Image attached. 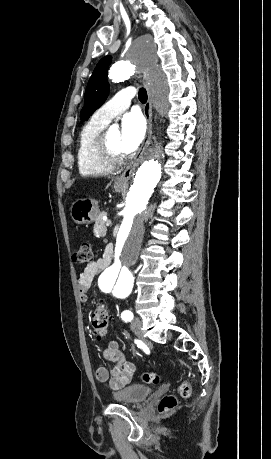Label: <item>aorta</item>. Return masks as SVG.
Returning a JSON list of instances; mask_svg holds the SVG:
<instances>
[{
    "label": "aorta",
    "instance_id": "1",
    "mask_svg": "<svg viewBox=\"0 0 271 459\" xmlns=\"http://www.w3.org/2000/svg\"><path fill=\"white\" fill-rule=\"evenodd\" d=\"M155 62L153 43L148 39H139L131 47L129 59L110 68L109 78L113 82H122L132 76L135 70H150L154 108L161 115H166L169 109L168 83ZM164 154L161 143L157 142L140 159L120 213L122 221L117 234L114 258L98 280L100 289L105 293L124 297L132 291L134 277L131 266L139 255L145 232L144 223L150 215L148 202L161 179Z\"/></svg>",
    "mask_w": 271,
    "mask_h": 459
}]
</instances>
